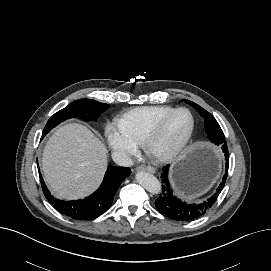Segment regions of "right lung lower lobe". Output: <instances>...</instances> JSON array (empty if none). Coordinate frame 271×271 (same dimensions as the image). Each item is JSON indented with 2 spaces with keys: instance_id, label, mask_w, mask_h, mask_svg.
Returning <instances> with one entry per match:
<instances>
[{
  "instance_id": "1",
  "label": "right lung lower lobe",
  "mask_w": 271,
  "mask_h": 271,
  "mask_svg": "<svg viewBox=\"0 0 271 271\" xmlns=\"http://www.w3.org/2000/svg\"><path fill=\"white\" fill-rule=\"evenodd\" d=\"M130 173L129 168L109 166L100 188L95 193L83 200L68 202L50 195L41 175L40 180L45 197L59 212L72 219L92 220L110 208L120 184Z\"/></svg>"
}]
</instances>
